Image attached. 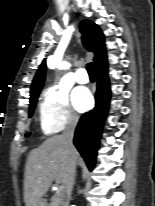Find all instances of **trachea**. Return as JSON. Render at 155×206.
I'll list each match as a JSON object with an SVG mask.
<instances>
[{
	"label": "trachea",
	"mask_w": 155,
	"mask_h": 206,
	"mask_svg": "<svg viewBox=\"0 0 155 206\" xmlns=\"http://www.w3.org/2000/svg\"><path fill=\"white\" fill-rule=\"evenodd\" d=\"M87 71L90 77H95L96 71L94 63L87 64Z\"/></svg>",
	"instance_id": "trachea-1"
}]
</instances>
